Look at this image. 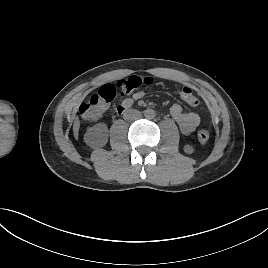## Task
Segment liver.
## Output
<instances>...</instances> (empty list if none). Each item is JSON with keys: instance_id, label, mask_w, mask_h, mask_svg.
I'll return each mask as SVG.
<instances>
[{"instance_id": "obj_1", "label": "liver", "mask_w": 268, "mask_h": 268, "mask_svg": "<svg viewBox=\"0 0 268 268\" xmlns=\"http://www.w3.org/2000/svg\"><path fill=\"white\" fill-rule=\"evenodd\" d=\"M79 128H80V121H79V119H76V120L74 121V124H73V133H74V137H75L76 139H78Z\"/></svg>"}]
</instances>
